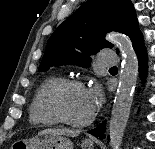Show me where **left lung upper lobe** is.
<instances>
[{
  "mask_svg": "<svg viewBox=\"0 0 155 149\" xmlns=\"http://www.w3.org/2000/svg\"><path fill=\"white\" fill-rule=\"evenodd\" d=\"M137 30L130 0H88L52 34L38 71L61 65L88 67L92 54L112 46L105 40L107 32L117 31L131 38Z\"/></svg>",
  "mask_w": 155,
  "mask_h": 149,
  "instance_id": "left-lung-upper-lobe-1",
  "label": "left lung upper lobe"
}]
</instances>
